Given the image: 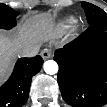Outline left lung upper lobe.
Wrapping results in <instances>:
<instances>
[{"instance_id":"left-lung-upper-lobe-1","label":"left lung upper lobe","mask_w":107,"mask_h":107,"mask_svg":"<svg viewBox=\"0 0 107 107\" xmlns=\"http://www.w3.org/2000/svg\"><path fill=\"white\" fill-rule=\"evenodd\" d=\"M82 7L85 10L87 21L90 25L99 20L107 19V13L93 4L82 2Z\"/></svg>"}]
</instances>
